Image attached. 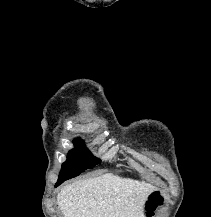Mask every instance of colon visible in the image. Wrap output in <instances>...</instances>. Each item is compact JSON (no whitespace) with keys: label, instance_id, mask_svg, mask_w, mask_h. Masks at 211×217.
<instances>
[{"label":"colon","instance_id":"colon-1","mask_svg":"<svg viewBox=\"0 0 211 217\" xmlns=\"http://www.w3.org/2000/svg\"><path fill=\"white\" fill-rule=\"evenodd\" d=\"M162 202V197L158 192L153 193L150 196V199L147 203V210L149 216H152L158 205H160Z\"/></svg>","mask_w":211,"mask_h":217}]
</instances>
